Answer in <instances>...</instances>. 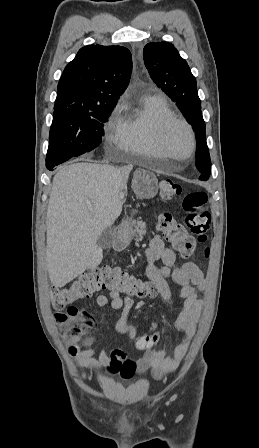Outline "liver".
<instances>
[{
	"label": "liver",
	"mask_w": 259,
	"mask_h": 448,
	"mask_svg": "<svg viewBox=\"0 0 259 448\" xmlns=\"http://www.w3.org/2000/svg\"><path fill=\"white\" fill-rule=\"evenodd\" d=\"M131 170L81 162L55 174L47 208L46 266L56 288L101 264L97 240L122 212L119 194Z\"/></svg>",
	"instance_id": "6515ba94"
}]
</instances>
